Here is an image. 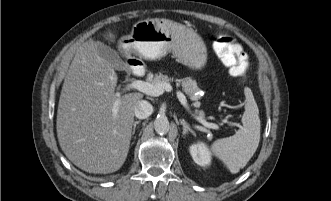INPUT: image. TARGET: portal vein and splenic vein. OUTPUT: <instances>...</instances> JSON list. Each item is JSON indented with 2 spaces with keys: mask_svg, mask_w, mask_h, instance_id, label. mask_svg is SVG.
Segmentation results:
<instances>
[{
  "mask_svg": "<svg viewBox=\"0 0 331 201\" xmlns=\"http://www.w3.org/2000/svg\"><path fill=\"white\" fill-rule=\"evenodd\" d=\"M133 89H136L147 95L157 97V96L162 95L165 91L171 92L173 88L169 83L151 84L149 82H145L142 80H134L131 83L126 85V87L124 88V91H126V90L129 91V90H133ZM117 95H118V97H120V93H118ZM176 95H177V98L179 99V101L181 102V104L187 108L188 104H187V99H186L185 95L181 91H177ZM119 103H120V99L117 98V100L115 101V103L113 105V110H112L114 118H116V116H117ZM197 120H199V122H201L207 128H212V129L219 128L217 124L206 122L202 118L197 117Z\"/></svg>",
  "mask_w": 331,
  "mask_h": 201,
  "instance_id": "18ae733b",
  "label": "portal vein and splenic vein"
}]
</instances>
